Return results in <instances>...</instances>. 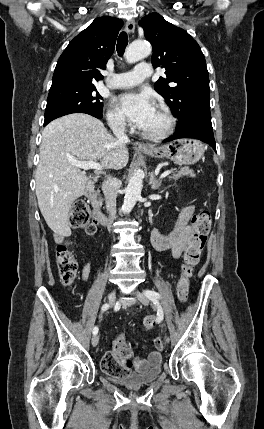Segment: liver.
Instances as JSON below:
<instances>
[{"mask_svg":"<svg viewBox=\"0 0 264 429\" xmlns=\"http://www.w3.org/2000/svg\"><path fill=\"white\" fill-rule=\"evenodd\" d=\"M101 166L124 168L129 160L126 143H120L97 118L73 113L49 123L43 130L40 161L36 170V196L49 228L69 236L68 214L72 203L84 194L87 176L71 160L93 161Z\"/></svg>","mask_w":264,"mask_h":429,"instance_id":"liver-1","label":"liver"}]
</instances>
